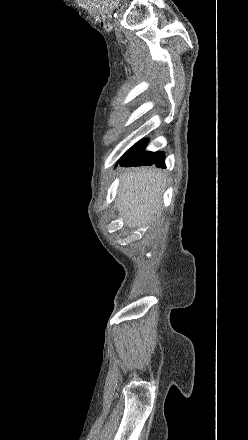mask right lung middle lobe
Segmentation results:
<instances>
[{
  "instance_id": "obj_1",
  "label": "right lung middle lobe",
  "mask_w": 248,
  "mask_h": 440,
  "mask_svg": "<svg viewBox=\"0 0 248 440\" xmlns=\"http://www.w3.org/2000/svg\"><path fill=\"white\" fill-rule=\"evenodd\" d=\"M122 161H123V157L120 159V163H122Z\"/></svg>"
}]
</instances>
